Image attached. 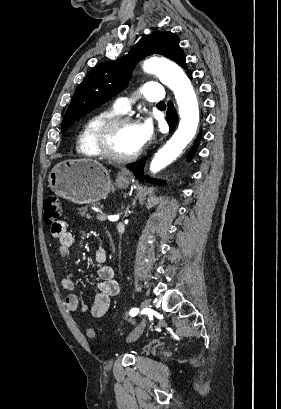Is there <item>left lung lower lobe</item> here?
<instances>
[{
	"instance_id": "obj_1",
	"label": "left lung lower lobe",
	"mask_w": 281,
	"mask_h": 409,
	"mask_svg": "<svg viewBox=\"0 0 281 409\" xmlns=\"http://www.w3.org/2000/svg\"><path fill=\"white\" fill-rule=\"evenodd\" d=\"M187 74H188V76H189L190 78H192V74H191L190 71L187 72ZM167 121H168V123H169V130H170V132H172V131L174 130L176 124H177L178 115H177V112H176V110L174 109L173 104H172L171 101L168 102ZM199 140H200V135H199L198 138L195 140L194 145L192 146V148H191V150H190V152H189V154H188V159H190L191 157L194 156L195 151H196L197 146H198V143H199ZM144 165H145V161L143 160V161H140L139 163H135V164H132V165H128V168H129L131 171H133L134 174H135L139 179L144 180V174H143ZM148 180H149L150 182L154 183V184L163 185V183H162L161 181H159V180L150 179V178H148Z\"/></svg>"
}]
</instances>
